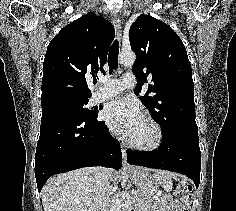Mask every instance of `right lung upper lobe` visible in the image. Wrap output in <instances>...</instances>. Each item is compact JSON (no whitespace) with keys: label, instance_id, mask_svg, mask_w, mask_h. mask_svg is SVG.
Wrapping results in <instances>:
<instances>
[{"label":"right lung upper lobe","instance_id":"cb5924a9","mask_svg":"<svg viewBox=\"0 0 236 211\" xmlns=\"http://www.w3.org/2000/svg\"><path fill=\"white\" fill-rule=\"evenodd\" d=\"M113 38L112 24L93 12L62 28L45 54L41 104L58 98H90L87 82H97V72H105Z\"/></svg>","mask_w":236,"mask_h":211}]
</instances>
